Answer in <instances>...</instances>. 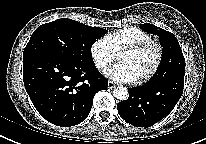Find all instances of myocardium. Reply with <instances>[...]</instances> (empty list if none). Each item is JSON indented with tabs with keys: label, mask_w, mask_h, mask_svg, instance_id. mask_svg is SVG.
<instances>
[{
	"label": "myocardium",
	"mask_w": 206,
	"mask_h": 144,
	"mask_svg": "<svg viewBox=\"0 0 206 144\" xmlns=\"http://www.w3.org/2000/svg\"><path fill=\"white\" fill-rule=\"evenodd\" d=\"M148 48H152L155 52L154 62L152 64L150 70L145 75H143L142 77H140L134 81L136 84L146 83L155 76V74L157 73V71L160 67V64H161L162 58H163L162 46L154 40H148V41H144L141 43L128 45V46L122 48L118 53V56L122 53H138V52H141V51L148 49Z\"/></svg>",
	"instance_id": "myocardium-1"
}]
</instances>
